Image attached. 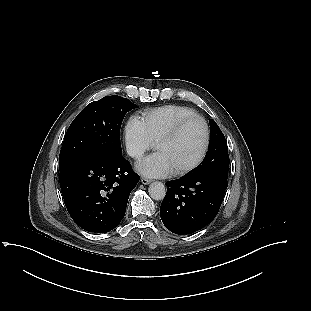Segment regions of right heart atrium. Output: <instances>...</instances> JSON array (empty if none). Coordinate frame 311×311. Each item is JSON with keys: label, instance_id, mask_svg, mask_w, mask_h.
I'll use <instances>...</instances> for the list:
<instances>
[{"label": "right heart atrium", "instance_id": "obj_1", "mask_svg": "<svg viewBox=\"0 0 311 311\" xmlns=\"http://www.w3.org/2000/svg\"><path fill=\"white\" fill-rule=\"evenodd\" d=\"M124 140L127 153L134 160H140L153 146L142 120L134 116L124 126Z\"/></svg>", "mask_w": 311, "mask_h": 311}]
</instances>
